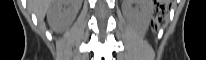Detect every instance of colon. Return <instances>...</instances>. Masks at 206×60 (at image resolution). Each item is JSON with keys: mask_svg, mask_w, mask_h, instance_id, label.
<instances>
[{"mask_svg": "<svg viewBox=\"0 0 206 60\" xmlns=\"http://www.w3.org/2000/svg\"><path fill=\"white\" fill-rule=\"evenodd\" d=\"M167 8L168 1L160 0L156 3L153 13L154 24L156 27L163 21Z\"/></svg>", "mask_w": 206, "mask_h": 60, "instance_id": "5ec220e1", "label": "colon"}]
</instances>
